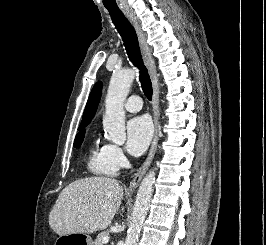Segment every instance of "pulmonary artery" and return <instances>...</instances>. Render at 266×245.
Here are the masks:
<instances>
[{
  "label": "pulmonary artery",
  "mask_w": 266,
  "mask_h": 245,
  "mask_svg": "<svg viewBox=\"0 0 266 245\" xmlns=\"http://www.w3.org/2000/svg\"><path fill=\"white\" fill-rule=\"evenodd\" d=\"M142 96H127V101L124 103V108L129 112H138L142 108Z\"/></svg>",
  "instance_id": "pulmonary-artery-1"
}]
</instances>
